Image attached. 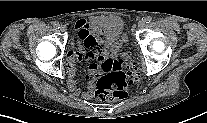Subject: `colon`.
Here are the masks:
<instances>
[{"label": "colon", "instance_id": "5ec220e1", "mask_svg": "<svg viewBox=\"0 0 207 123\" xmlns=\"http://www.w3.org/2000/svg\"><path fill=\"white\" fill-rule=\"evenodd\" d=\"M101 72L95 84V96L99 100H121L127 97L133 84L141 75L131 56L118 59H103L99 64Z\"/></svg>", "mask_w": 207, "mask_h": 123}]
</instances>
